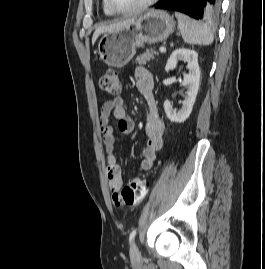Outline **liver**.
<instances>
[{
  "mask_svg": "<svg viewBox=\"0 0 265 269\" xmlns=\"http://www.w3.org/2000/svg\"><path fill=\"white\" fill-rule=\"evenodd\" d=\"M133 19H135V18L125 19L123 21L112 23L110 25H102V26L98 27L95 30L94 34H93L92 44L94 45V43L96 42L97 38L102 33L119 30V29L123 28L125 25H127L129 22H131Z\"/></svg>",
  "mask_w": 265,
  "mask_h": 269,
  "instance_id": "obj_1",
  "label": "liver"
}]
</instances>
